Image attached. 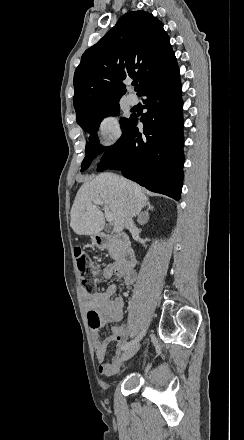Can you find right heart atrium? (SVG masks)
Wrapping results in <instances>:
<instances>
[{"mask_svg": "<svg viewBox=\"0 0 244 440\" xmlns=\"http://www.w3.org/2000/svg\"><path fill=\"white\" fill-rule=\"evenodd\" d=\"M98 131L105 145L114 144L121 136L119 122L112 114H106L99 119Z\"/></svg>", "mask_w": 244, "mask_h": 440, "instance_id": "right-heart-atrium-1", "label": "right heart atrium"}]
</instances>
